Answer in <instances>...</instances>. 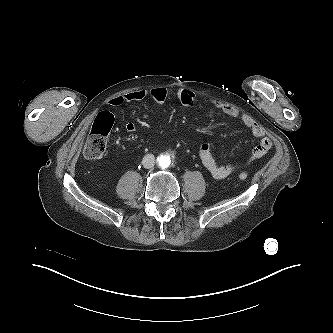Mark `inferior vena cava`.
I'll use <instances>...</instances> for the list:
<instances>
[{"label":"inferior vena cava","instance_id":"obj_1","mask_svg":"<svg viewBox=\"0 0 333 333\" xmlns=\"http://www.w3.org/2000/svg\"><path fill=\"white\" fill-rule=\"evenodd\" d=\"M142 165L146 169L153 168L155 165V157L153 154H146L142 159Z\"/></svg>","mask_w":333,"mask_h":333}]
</instances>
